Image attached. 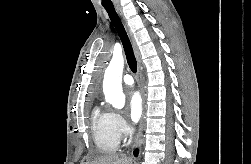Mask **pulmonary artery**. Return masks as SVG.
<instances>
[{"label": "pulmonary artery", "mask_w": 251, "mask_h": 164, "mask_svg": "<svg viewBox=\"0 0 251 164\" xmlns=\"http://www.w3.org/2000/svg\"><path fill=\"white\" fill-rule=\"evenodd\" d=\"M123 82H124V84L131 86V85H133L134 80L131 75L126 74L123 76Z\"/></svg>", "instance_id": "e3ab8cb5"}]
</instances>
